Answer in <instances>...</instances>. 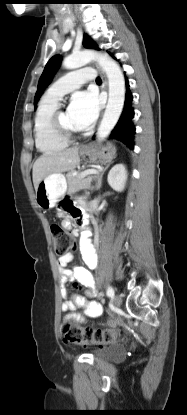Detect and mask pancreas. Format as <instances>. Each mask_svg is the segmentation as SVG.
<instances>
[{
	"mask_svg": "<svg viewBox=\"0 0 187 415\" xmlns=\"http://www.w3.org/2000/svg\"><path fill=\"white\" fill-rule=\"evenodd\" d=\"M67 183H68V195H72L82 189H89L91 188V182L95 176L87 175L85 177H81V173L77 175H73V171L69 172L67 175Z\"/></svg>",
	"mask_w": 187,
	"mask_h": 415,
	"instance_id": "1",
	"label": "pancreas"
}]
</instances>
